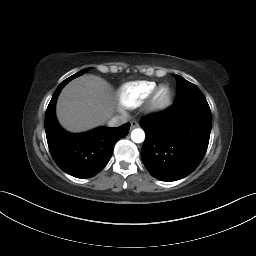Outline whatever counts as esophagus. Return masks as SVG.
<instances>
[{"mask_svg":"<svg viewBox=\"0 0 256 256\" xmlns=\"http://www.w3.org/2000/svg\"><path fill=\"white\" fill-rule=\"evenodd\" d=\"M138 126H139L138 122H136V121H131V123H130L131 129H134V128L138 127Z\"/></svg>","mask_w":256,"mask_h":256,"instance_id":"34e87169","label":"esophagus"}]
</instances>
